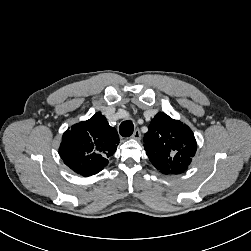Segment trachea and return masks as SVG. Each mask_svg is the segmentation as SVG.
<instances>
[{
  "instance_id": "1",
  "label": "trachea",
  "mask_w": 251,
  "mask_h": 251,
  "mask_svg": "<svg viewBox=\"0 0 251 251\" xmlns=\"http://www.w3.org/2000/svg\"><path fill=\"white\" fill-rule=\"evenodd\" d=\"M133 131L134 125L130 120L123 121L119 126V132L123 137L131 136Z\"/></svg>"
}]
</instances>
